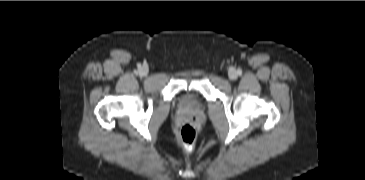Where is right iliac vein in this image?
<instances>
[{
  "label": "right iliac vein",
  "mask_w": 365,
  "mask_h": 180,
  "mask_svg": "<svg viewBox=\"0 0 365 180\" xmlns=\"http://www.w3.org/2000/svg\"><path fill=\"white\" fill-rule=\"evenodd\" d=\"M140 74L146 76L148 74V69L146 67H142L140 69Z\"/></svg>",
  "instance_id": "right-iliac-vein-1"
}]
</instances>
